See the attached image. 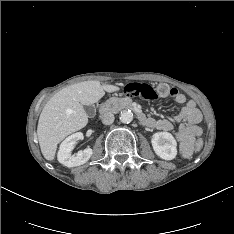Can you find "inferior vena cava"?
Masks as SVG:
<instances>
[{
	"label": "inferior vena cava",
	"instance_id": "1",
	"mask_svg": "<svg viewBox=\"0 0 234 234\" xmlns=\"http://www.w3.org/2000/svg\"><path fill=\"white\" fill-rule=\"evenodd\" d=\"M101 119H102L103 124L110 125L114 122L115 117L112 113L107 112V113L102 115Z\"/></svg>",
	"mask_w": 234,
	"mask_h": 234
}]
</instances>
